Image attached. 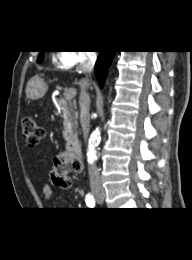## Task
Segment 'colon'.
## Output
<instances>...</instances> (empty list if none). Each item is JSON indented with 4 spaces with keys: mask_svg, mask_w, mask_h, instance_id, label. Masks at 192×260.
Segmentation results:
<instances>
[{
    "mask_svg": "<svg viewBox=\"0 0 192 260\" xmlns=\"http://www.w3.org/2000/svg\"><path fill=\"white\" fill-rule=\"evenodd\" d=\"M21 125L25 145L29 148L37 147L44 137V129L29 117L24 118ZM80 167L78 158L65 152L59 153L53 160L51 179L57 187L68 188L71 186L70 172L78 171Z\"/></svg>",
    "mask_w": 192,
    "mask_h": 260,
    "instance_id": "obj_1",
    "label": "colon"
}]
</instances>
